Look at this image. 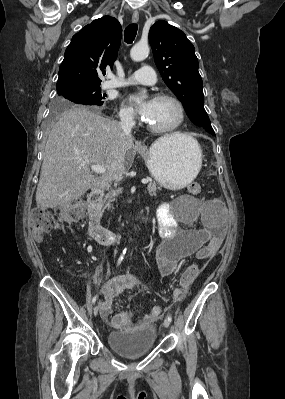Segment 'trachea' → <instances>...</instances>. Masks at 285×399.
<instances>
[{"instance_id":"3493384b","label":"trachea","mask_w":285,"mask_h":399,"mask_svg":"<svg viewBox=\"0 0 285 399\" xmlns=\"http://www.w3.org/2000/svg\"><path fill=\"white\" fill-rule=\"evenodd\" d=\"M138 26L137 24L133 23L127 26L124 32L125 42L130 44L135 39L137 34Z\"/></svg>"}]
</instances>
